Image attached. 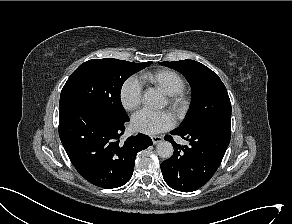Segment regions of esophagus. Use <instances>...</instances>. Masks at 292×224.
Masks as SVG:
<instances>
[{
    "mask_svg": "<svg viewBox=\"0 0 292 224\" xmlns=\"http://www.w3.org/2000/svg\"><path fill=\"white\" fill-rule=\"evenodd\" d=\"M151 139H152L153 144H158L163 140L161 136H152Z\"/></svg>",
    "mask_w": 292,
    "mask_h": 224,
    "instance_id": "obj_1",
    "label": "esophagus"
}]
</instances>
